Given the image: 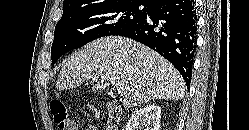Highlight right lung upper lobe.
I'll return each instance as SVG.
<instances>
[{
  "label": "right lung upper lobe",
  "instance_id": "obj_1",
  "mask_svg": "<svg viewBox=\"0 0 249 130\" xmlns=\"http://www.w3.org/2000/svg\"><path fill=\"white\" fill-rule=\"evenodd\" d=\"M112 0H64L63 2V12L78 10L90 5L99 4L102 2H107ZM135 1V0H132ZM136 1H142L146 2L149 5L154 3L156 0H136Z\"/></svg>",
  "mask_w": 249,
  "mask_h": 130
}]
</instances>
